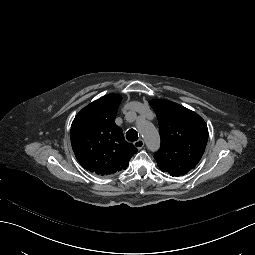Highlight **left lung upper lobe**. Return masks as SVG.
Segmentation results:
<instances>
[{"label": "left lung upper lobe", "mask_w": 255, "mask_h": 255, "mask_svg": "<svg viewBox=\"0 0 255 255\" xmlns=\"http://www.w3.org/2000/svg\"><path fill=\"white\" fill-rule=\"evenodd\" d=\"M161 137V148L154 158L163 172L181 176L201 159L208 140L205 121L195 112L170 101L152 100Z\"/></svg>", "instance_id": "5c2ea615"}]
</instances>
